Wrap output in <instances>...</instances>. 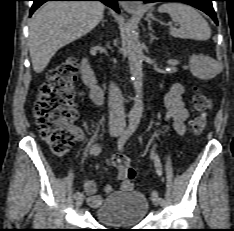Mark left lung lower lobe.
Here are the masks:
<instances>
[{"instance_id": "left-lung-lower-lobe-1", "label": "left lung lower lobe", "mask_w": 234, "mask_h": 231, "mask_svg": "<svg viewBox=\"0 0 234 231\" xmlns=\"http://www.w3.org/2000/svg\"><path fill=\"white\" fill-rule=\"evenodd\" d=\"M140 1H144L145 3L157 2V1L183 2V3L192 5L198 9L202 10L203 12L208 14L214 20V22L216 24H218L216 14H215L214 9L212 7L213 0H140Z\"/></svg>"}]
</instances>
